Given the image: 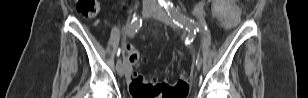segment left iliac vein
I'll return each instance as SVG.
<instances>
[{
    "instance_id": "obj_1",
    "label": "left iliac vein",
    "mask_w": 308,
    "mask_h": 98,
    "mask_svg": "<svg viewBox=\"0 0 308 98\" xmlns=\"http://www.w3.org/2000/svg\"><path fill=\"white\" fill-rule=\"evenodd\" d=\"M152 15L155 18H157L158 20L162 21L163 23H165V24H167V25H169L173 28H176L172 19L159 6H155L153 8ZM195 61H196L197 68H200L201 67V59H200L199 55L196 56Z\"/></svg>"
}]
</instances>
